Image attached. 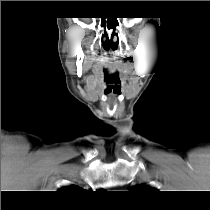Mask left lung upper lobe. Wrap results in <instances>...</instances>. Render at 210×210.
<instances>
[{"label": "left lung upper lobe", "instance_id": "5c2ea615", "mask_svg": "<svg viewBox=\"0 0 210 210\" xmlns=\"http://www.w3.org/2000/svg\"><path fill=\"white\" fill-rule=\"evenodd\" d=\"M132 190H134L136 192H140V193H146V192L153 191L156 189L151 188L149 186H145V185H139V186L133 187Z\"/></svg>", "mask_w": 210, "mask_h": 210}]
</instances>
